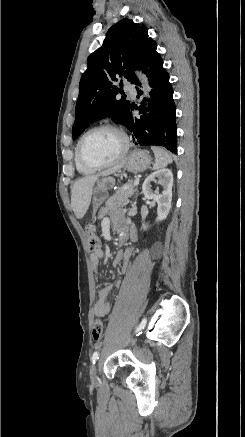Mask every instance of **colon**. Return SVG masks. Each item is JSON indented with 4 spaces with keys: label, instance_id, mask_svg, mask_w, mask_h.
<instances>
[{
    "label": "colon",
    "instance_id": "colon-1",
    "mask_svg": "<svg viewBox=\"0 0 245 437\" xmlns=\"http://www.w3.org/2000/svg\"><path fill=\"white\" fill-rule=\"evenodd\" d=\"M85 233L87 237V245L89 250L94 251L98 248L99 240L96 234L95 227L93 225H87L85 228ZM104 331V324L102 320L97 319L94 322L92 329V336L95 341L101 340Z\"/></svg>",
    "mask_w": 245,
    "mask_h": 437
}]
</instances>
